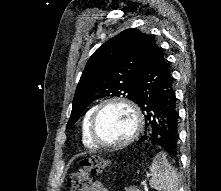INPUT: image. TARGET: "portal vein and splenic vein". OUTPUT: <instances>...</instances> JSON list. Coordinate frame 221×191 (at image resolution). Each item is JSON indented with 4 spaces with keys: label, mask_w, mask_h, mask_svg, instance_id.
Here are the masks:
<instances>
[{
    "label": "portal vein and splenic vein",
    "mask_w": 221,
    "mask_h": 191,
    "mask_svg": "<svg viewBox=\"0 0 221 191\" xmlns=\"http://www.w3.org/2000/svg\"><path fill=\"white\" fill-rule=\"evenodd\" d=\"M140 185L144 188H147V181H142Z\"/></svg>",
    "instance_id": "1"
}]
</instances>
